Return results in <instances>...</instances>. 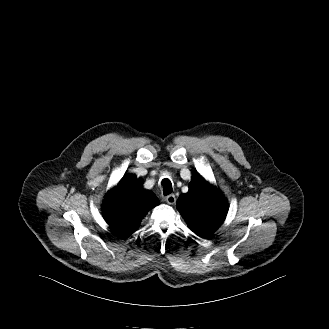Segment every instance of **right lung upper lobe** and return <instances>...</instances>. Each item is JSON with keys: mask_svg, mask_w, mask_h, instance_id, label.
I'll use <instances>...</instances> for the list:
<instances>
[{"mask_svg": "<svg viewBox=\"0 0 329 329\" xmlns=\"http://www.w3.org/2000/svg\"><path fill=\"white\" fill-rule=\"evenodd\" d=\"M135 175H124L106 195L102 205L105 221L125 237L137 230L147 212L159 204L157 197L141 187Z\"/></svg>", "mask_w": 329, "mask_h": 329, "instance_id": "obj_1", "label": "right lung upper lobe"}]
</instances>
